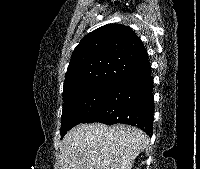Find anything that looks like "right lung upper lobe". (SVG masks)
Here are the masks:
<instances>
[{
    "label": "right lung upper lobe",
    "mask_w": 200,
    "mask_h": 169,
    "mask_svg": "<svg viewBox=\"0 0 200 169\" xmlns=\"http://www.w3.org/2000/svg\"><path fill=\"white\" fill-rule=\"evenodd\" d=\"M150 68L141 40L131 28L107 24L86 35L73 51L63 99L101 80H119Z\"/></svg>",
    "instance_id": "right-lung-upper-lobe-1"
}]
</instances>
